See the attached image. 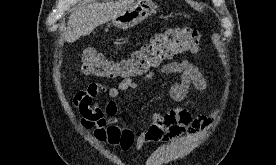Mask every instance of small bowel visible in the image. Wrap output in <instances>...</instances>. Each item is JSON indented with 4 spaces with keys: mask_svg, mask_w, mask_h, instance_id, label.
Here are the masks:
<instances>
[{
    "mask_svg": "<svg viewBox=\"0 0 276 165\" xmlns=\"http://www.w3.org/2000/svg\"><path fill=\"white\" fill-rule=\"evenodd\" d=\"M156 73L179 75V80L169 90L171 98L175 101L184 100L191 86L200 91L207 88V82L201 71L187 60L164 63L156 72L145 77L152 78ZM136 87L137 84L133 79L124 78L115 87L106 88L94 82L76 93L73 103L81 118V124L93 132L98 142L116 147L123 152L129 151L133 146L140 151L151 142L169 141L187 130L190 135H194L211 123L209 117H193L183 108H174L165 113L152 114L149 125L136 134L130 127L118 124V106L114 100ZM104 91L110 100L101 107L96 101Z\"/></svg>",
    "mask_w": 276,
    "mask_h": 165,
    "instance_id": "1",
    "label": "small bowel"
}]
</instances>
